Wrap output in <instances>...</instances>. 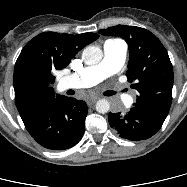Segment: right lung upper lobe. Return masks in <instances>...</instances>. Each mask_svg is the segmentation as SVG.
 <instances>
[{"instance_id": "1", "label": "right lung upper lobe", "mask_w": 187, "mask_h": 187, "mask_svg": "<svg viewBox=\"0 0 187 187\" xmlns=\"http://www.w3.org/2000/svg\"><path fill=\"white\" fill-rule=\"evenodd\" d=\"M98 37L95 33L44 32L26 44L15 63L13 80L15 103L22 120L63 97L52 88L53 73L67 67L82 48Z\"/></svg>"}]
</instances>
